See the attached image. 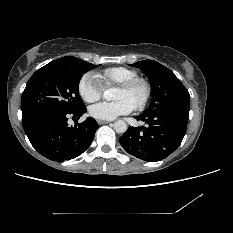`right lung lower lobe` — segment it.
I'll return each instance as SVG.
<instances>
[{"instance_id": "right-lung-lower-lobe-1", "label": "right lung lower lobe", "mask_w": 233, "mask_h": 233, "mask_svg": "<svg viewBox=\"0 0 233 233\" xmlns=\"http://www.w3.org/2000/svg\"><path fill=\"white\" fill-rule=\"evenodd\" d=\"M86 107L77 112L45 111L26 120L23 128L33 147L44 157L58 162L76 158L92 143L99 125L94 118L69 127V116L79 119Z\"/></svg>"}]
</instances>
